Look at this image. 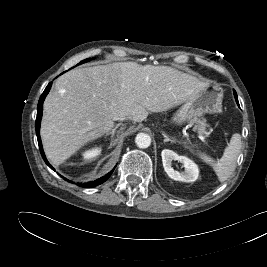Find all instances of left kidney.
Returning a JSON list of instances; mask_svg holds the SVG:
<instances>
[{"label": "left kidney", "mask_w": 267, "mask_h": 267, "mask_svg": "<svg viewBox=\"0 0 267 267\" xmlns=\"http://www.w3.org/2000/svg\"><path fill=\"white\" fill-rule=\"evenodd\" d=\"M163 167L167 175L176 181L194 182L199 176L198 166L186 156H179L169 149H164L161 153ZM177 160L183 164L185 171L180 173L173 169L172 161Z\"/></svg>", "instance_id": "left-kidney-1"}]
</instances>
